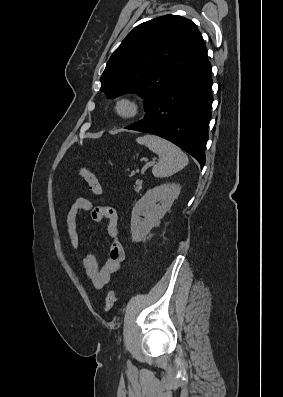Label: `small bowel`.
<instances>
[{
    "mask_svg": "<svg viewBox=\"0 0 283 397\" xmlns=\"http://www.w3.org/2000/svg\"><path fill=\"white\" fill-rule=\"evenodd\" d=\"M81 212L90 213L95 222H107V231L112 242L110 244L109 256L103 266H100L97 258L92 253H87L83 258V266L86 274L97 289L103 288L110 282L111 276L116 273L125 259V251L118 240L117 210L111 205H100L94 207L86 198H77L66 214L67 234L73 249L79 248V233L77 218Z\"/></svg>",
    "mask_w": 283,
    "mask_h": 397,
    "instance_id": "1",
    "label": "small bowel"
}]
</instances>
